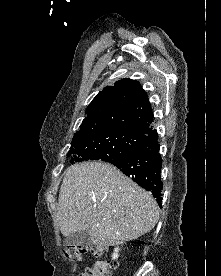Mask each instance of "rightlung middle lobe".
<instances>
[{
  "instance_id": "obj_1",
  "label": "right lung middle lobe",
  "mask_w": 221,
  "mask_h": 276,
  "mask_svg": "<svg viewBox=\"0 0 221 276\" xmlns=\"http://www.w3.org/2000/svg\"><path fill=\"white\" fill-rule=\"evenodd\" d=\"M143 139L120 132L91 136L72 141L68 157H71V163L88 160L111 162L128 155L142 144Z\"/></svg>"
}]
</instances>
